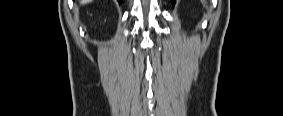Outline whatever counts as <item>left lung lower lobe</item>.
<instances>
[{"instance_id":"obj_1","label":"left lung lower lobe","mask_w":283,"mask_h":116,"mask_svg":"<svg viewBox=\"0 0 283 116\" xmlns=\"http://www.w3.org/2000/svg\"><path fill=\"white\" fill-rule=\"evenodd\" d=\"M172 5H175L176 0H171Z\"/></svg>"}]
</instances>
